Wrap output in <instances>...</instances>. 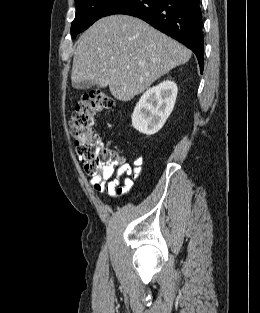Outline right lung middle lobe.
Instances as JSON below:
<instances>
[{"mask_svg":"<svg viewBox=\"0 0 260 313\" xmlns=\"http://www.w3.org/2000/svg\"><path fill=\"white\" fill-rule=\"evenodd\" d=\"M118 0H75L76 15L71 26V35H76L95 21L104 16V14L117 2Z\"/></svg>","mask_w":260,"mask_h":313,"instance_id":"right-lung-middle-lobe-1","label":"right lung middle lobe"}]
</instances>
